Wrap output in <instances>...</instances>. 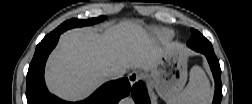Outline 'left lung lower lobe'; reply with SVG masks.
Here are the masks:
<instances>
[{"instance_id": "1", "label": "left lung lower lobe", "mask_w": 252, "mask_h": 104, "mask_svg": "<svg viewBox=\"0 0 252 104\" xmlns=\"http://www.w3.org/2000/svg\"><path fill=\"white\" fill-rule=\"evenodd\" d=\"M199 41L209 42L205 37H198ZM191 40L187 42V45L191 44ZM191 48V47H190ZM210 65L213 77L215 80V94L212 104H220L222 99V83H221V69L219 65V60L217 59L215 53H203ZM132 97L135 101V104H150L149 96L145 83L139 81L135 83L131 90Z\"/></svg>"}]
</instances>
